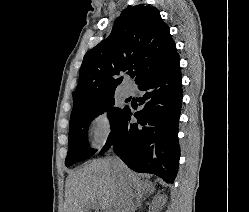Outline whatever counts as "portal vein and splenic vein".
<instances>
[{
	"mask_svg": "<svg viewBox=\"0 0 249 212\" xmlns=\"http://www.w3.org/2000/svg\"><path fill=\"white\" fill-rule=\"evenodd\" d=\"M100 204H97V202H92V208H99Z\"/></svg>",
	"mask_w": 249,
	"mask_h": 212,
	"instance_id": "portal-vein-and-splenic-vein-1",
	"label": "portal vein and splenic vein"
}]
</instances>
